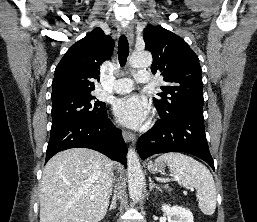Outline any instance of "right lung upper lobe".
<instances>
[{
    "label": "right lung upper lobe",
    "instance_id": "1",
    "mask_svg": "<svg viewBox=\"0 0 257 222\" xmlns=\"http://www.w3.org/2000/svg\"><path fill=\"white\" fill-rule=\"evenodd\" d=\"M113 49L114 41L101 28L72 45L55 69L52 101L91 95L93 79L99 80L100 65L111 57Z\"/></svg>",
    "mask_w": 257,
    "mask_h": 222
}]
</instances>
